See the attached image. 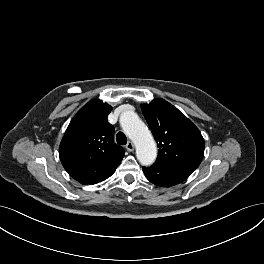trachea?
<instances>
[{
    "instance_id": "3493384b",
    "label": "trachea",
    "mask_w": 264,
    "mask_h": 264,
    "mask_svg": "<svg viewBox=\"0 0 264 264\" xmlns=\"http://www.w3.org/2000/svg\"><path fill=\"white\" fill-rule=\"evenodd\" d=\"M116 141L120 145H125L127 143V138L123 132H118L116 135Z\"/></svg>"
}]
</instances>
